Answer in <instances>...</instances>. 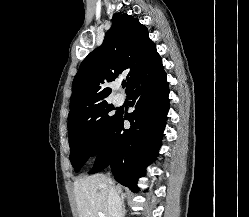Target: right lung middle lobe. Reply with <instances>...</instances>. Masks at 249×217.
I'll return each mask as SVG.
<instances>
[{
  "instance_id": "1",
  "label": "right lung middle lobe",
  "mask_w": 249,
  "mask_h": 217,
  "mask_svg": "<svg viewBox=\"0 0 249 217\" xmlns=\"http://www.w3.org/2000/svg\"><path fill=\"white\" fill-rule=\"evenodd\" d=\"M107 102L97 104L68 119L70 161L78 172L89 157L102 148L120 112Z\"/></svg>"
}]
</instances>
